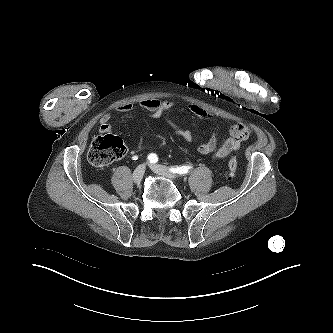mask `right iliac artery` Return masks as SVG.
<instances>
[{"label":"right iliac artery","instance_id":"1","mask_svg":"<svg viewBox=\"0 0 333 333\" xmlns=\"http://www.w3.org/2000/svg\"><path fill=\"white\" fill-rule=\"evenodd\" d=\"M148 160L150 163H156L158 161V157L156 154L151 153L148 155Z\"/></svg>","mask_w":333,"mask_h":333}]
</instances>
